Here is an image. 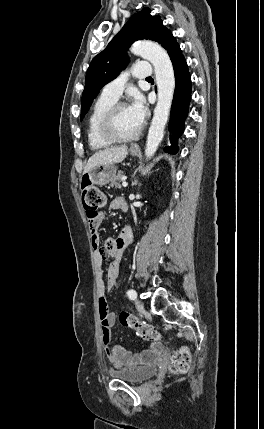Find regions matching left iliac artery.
<instances>
[{
	"label": "left iliac artery",
	"mask_w": 264,
	"mask_h": 429,
	"mask_svg": "<svg viewBox=\"0 0 264 429\" xmlns=\"http://www.w3.org/2000/svg\"><path fill=\"white\" fill-rule=\"evenodd\" d=\"M135 290L134 289H130V290H128L127 291V295H128V297L131 299L132 297H131V294L134 292Z\"/></svg>",
	"instance_id": "left-iliac-artery-1"
}]
</instances>
